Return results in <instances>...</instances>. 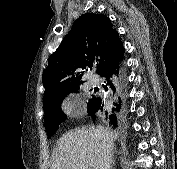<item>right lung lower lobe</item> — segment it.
Masks as SVG:
<instances>
[{
	"label": "right lung lower lobe",
	"instance_id": "right-lung-lower-lobe-1",
	"mask_svg": "<svg viewBox=\"0 0 177 169\" xmlns=\"http://www.w3.org/2000/svg\"><path fill=\"white\" fill-rule=\"evenodd\" d=\"M124 60V59H123ZM123 60L105 68L99 75L106 79L110 90L108 99L94 96L88 114L93 120L101 118L118 127L126 113V73Z\"/></svg>",
	"mask_w": 177,
	"mask_h": 169
}]
</instances>
